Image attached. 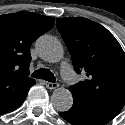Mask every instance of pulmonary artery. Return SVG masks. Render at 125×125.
Returning a JSON list of instances; mask_svg holds the SVG:
<instances>
[{
	"instance_id": "obj_1",
	"label": "pulmonary artery",
	"mask_w": 125,
	"mask_h": 125,
	"mask_svg": "<svg viewBox=\"0 0 125 125\" xmlns=\"http://www.w3.org/2000/svg\"><path fill=\"white\" fill-rule=\"evenodd\" d=\"M60 73L62 78L69 86H72L77 82V77L70 66L63 65L60 69Z\"/></svg>"
}]
</instances>
